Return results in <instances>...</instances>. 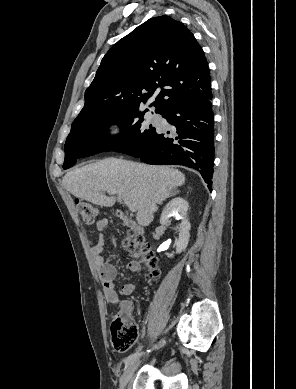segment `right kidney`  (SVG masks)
<instances>
[{"mask_svg":"<svg viewBox=\"0 0 296 389\" xmlns=\"http://www.w3.org/2000/svg\"><path fill=\"white\" fill-rule=\"evenodd\" d=\"M189 210V204L183 198L176 197L168 202L165 208L162 211L160 217V223L162 226H168L170 223V218L175 217L177 220H181L179 228V237L176 241V254H180L185 251L189 238H190V222L187 219V214ZM174 255L169 254L168 257L172 258Z\"/></svg>","mask_w":296,"mask_h":389,"instance_id":"ca27d5eb","label":"right kidney"}]
</instances>
